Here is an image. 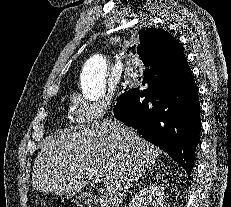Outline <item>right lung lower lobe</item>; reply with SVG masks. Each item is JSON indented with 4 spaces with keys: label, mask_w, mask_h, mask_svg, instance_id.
<instances>
[{
    "label": "right lung lower lobe",
    "mask_w": 231,
    "mask_h": 207,
    "mask_svg": "<svg viewBox=\"0 0 231 207\" xmlns=\"http://www.w3.org/2000/svg\"><path fill=\"white\" fill-rule=\"evenodd\" d=\"M150 31L142 30L139 37ZM114 116L167 152L188 176L191 174L201 119L198 90L189 66L165 71L149 67L142 86L121 95Z\"/></svg>",
    "instance_id": "1"
}]
</instances>
